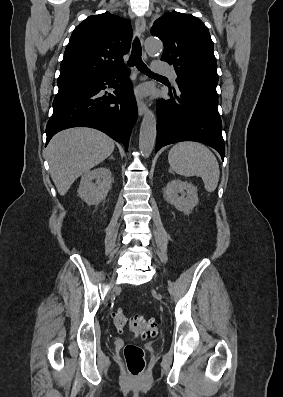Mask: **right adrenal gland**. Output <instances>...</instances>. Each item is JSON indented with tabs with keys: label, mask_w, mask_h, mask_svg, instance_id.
Listing matches in <instances>:
<instances>
[{
	"label": "right adrenal gland",
	"mask_w": 283,
	"mask_h": 397,
	"mask_svg": "<svg viewBox=\"0 0 283 397\" xmlns=\"http://www.w3.org/2000/svg\"><path fill=\"white\" fill-rule=\"evenodd\" d=\"M110 159H114V157H113V156H111V157H110Z\"/></svg>",
	"instance_id": "2a0ac1e0"
}]
</instances>
